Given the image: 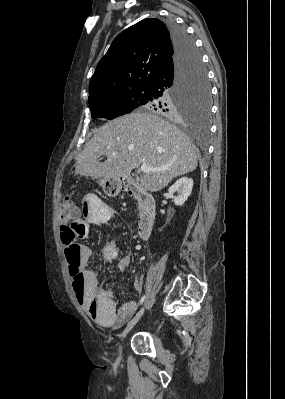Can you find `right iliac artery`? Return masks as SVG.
Masks as SVG:
<instances>
[{"mask_svg":"<svg viewBox=\"0 0 285 399\" xmlns=\"http://www.w3.org/2000/svg\"><path fill=\"white\" fill-rule=\"evenodd\" d=\"M145 299H146V295H143V296L140 298V300H139V305H142L143 302L145 301Z\"/></svg>","mask_w":285,"mask_h":399,"instance_id":"1","label":"right iliac artery"}]
</instances>
